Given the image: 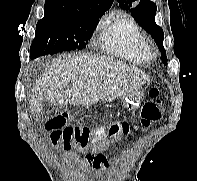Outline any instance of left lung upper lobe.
Listing matches in <instances>:
<instances>
[{
  "label": "left lung upper lobe",
  "instance_id": "left-lung-upper-lobe-1",
  "mask_svg": "<svg viewBox=\"0 0 197 181\" xmlns=\"http://www.w3.org/2000/svg\"><path fill=\"white\" fill-rule=\"evenodd\" d=\"M119 6L123 9H130L132 17L135 21L149 34L154 36V40L158 44L161 51L163 63L167 64L166 51L163 47L164 32L155 22L157 6L150 0H140L136 6L132 3L138 0H117Z\"/></svg>",
  "mask_w": 197,
  "mask_h": 181
}]
</instances>
